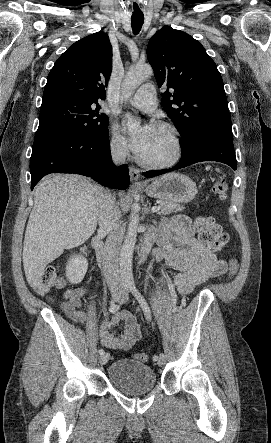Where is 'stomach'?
I'll list each match as a JSON object with an SVG mask.
<instances>
[{
  "instance_id": "1",
  "label": "stomach",
  "mask_w": 271,
  "mask_h": 443,
  "mask_svg": "<svg viewBox=\"0 0 271 443\" xmlns=\"http://www.w3.org/2000/svg\"><path fill=\"white\" fill-rule=\"evenodd\" d=\"M150 198H160L166 202L186 204L194 200L197 194L195 182L183 174H166L154 180L145 190Z\"/></svg>"
}]
</instances>
